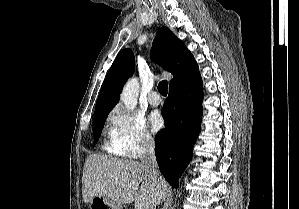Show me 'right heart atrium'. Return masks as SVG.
Listing matches in <instances>:
<instances>
[{"label": "right heart atrium", "mask_w": 299, "mask_h": 209, "mask_svg": "<svg viewBox=\"0 0 299 209\" xmlns=\"http://www.w3.org/2000/svg\"><path fill=\"white\" fill-rule=\"evenodd\" d=\"M108 123L110 141L122 156L138 158L155 145L143 120L119 106L110 113Z\"/></svg>", "instance_id": "d8ad5b80"}]
</instances>
